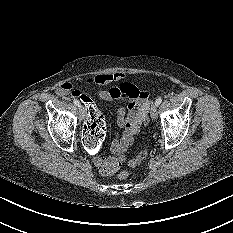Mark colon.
<instances>
[{"instance_id": "5ec220e1", "label": "colon", "mask_w": 233, "mask_h": 233, "mask_svg": "<svg viewBox=\"0 0 233 233\" xmlns=\"http://www.w3.org/2000/svg\"><path fill=\"white\" fill-rule=\"evenodd\" d=\"M78 103L84 111L85 130L84 139L85 147L88 149L89 154L96 155L103 147V139L105 135L106 124L103 115L96 108L88 94H80L78 96ZM143 123H148V116L143 117ZM148 156V148L144 147L139 154L130 159L127 164L129 167H136L142 163ZM119 161H123V156H119ZM129 176L127 171L119 174L120 179H126Z\"/></svg>"}]
</instances>
